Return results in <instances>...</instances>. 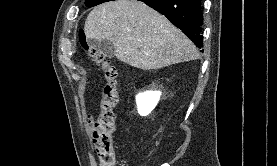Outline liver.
Listing matches in <instances>:
<instances>
[{
  "mask_svg": "<svg viewBox=\"0 0 277 166\" xmlns=\"http://www.w3.org/2000/svg\"><path fill=\"white\" fill-rule=\"evenodd\" d=\"M87 39H107L120 61L143 70L160 69L200 57L192 41L163 15L136 0L96 6L84 26Z\"/></svg>",
  "mask_w": 277,
  "mask_h": 166,
  "instance_id": "liver-1",
  "label": "liver"
}]
</instances>
